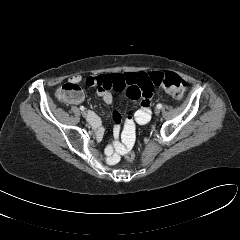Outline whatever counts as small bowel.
Returning <instances> with one entry per match:
<instances>
[{"label": "small bowel", "mask_w": 240, "mask_h": 240, "mask_svg": "<svg viewBox=\"0 0 240 240\" xmlns=\"http://www.w3.org/2000/svg\"><path fill=\"white\" fill-rule=\"evenodd\" d=\"M82 77L80 75H74L69 79V82L80 83ZM88 86H96L97 94L102 100L110 105L114 101V97L111 91L122 92L126 91L127 96L130 99H140V108L135 112L134 119L128 118L125 123V132L134 131V121L138 124H146L151 119V100L154 91V85L147 73L144 72H127L124 74H104L90 76L84 80ZM83 101V96L79 99L70 101L72 104L78 105ZM120 114L118 112L113 113V133L115 137L120 133ZM89 122L95 128L98 137H101L104 133V129L101 126L100 118L94 113H89ZM119 153H124L125 148L117 145Z\"/></svg>", "instance_id": "obj_1"}]
</instances>
